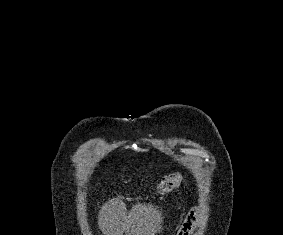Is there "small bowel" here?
I'll return each instance as SVG.
<instances>
[{
	"label": "small bowel",
	"instance_id": "obj_1",
	"mask_svg": "<svg viewBox=\"0 0 283 235\" xmlns=\"http://www.w3.org/2000/svg\"><path fill=\"white\" fill-rule=\"evenodd\" d=\"M198 217V211L196 209L192 210L189 214V218L185 224V228H190L192 224L195 222V220Z\"/></svg>",
	"mask_w": 283,
	"mask_h": 235
}]
</instances>
